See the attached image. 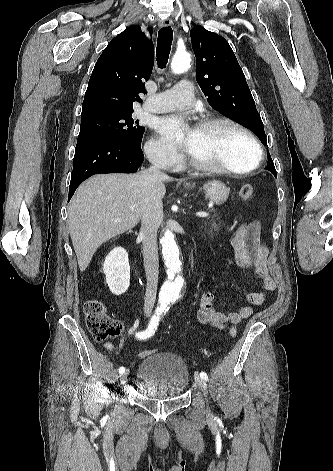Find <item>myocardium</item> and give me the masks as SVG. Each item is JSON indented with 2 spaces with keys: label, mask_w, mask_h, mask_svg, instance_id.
Masks as SVG:
<instances>
[{
  "label": "myocardium",
  "mask_w": 333,
  "mask_h": 471,
  "mask_svg": "<svg viewBox=\"0 0 333 471\" xmlns=\"http://www.w3.org/2000/svg\"><path fill=\"white\" fill-rule=\"evenodd\" d=\"M218 124H227L230 125L240 132H242L252 143L255 151H256V159L254 163L246 168V169H233L224 165H219V164H214L208 161H205L203 159H200L191 153L189 154V161L190 163L197 169L202 170V171H207V172H214V173H225V174H233V175H245L249 174L253 171H255L261 164L262 158H263V151L261 148V145L255 135L243 124L240 122L229 118V117H224V116H218V117H211L202 120L199 122L197 128L199 129H208L212 126L218 125Z\"/></svg>",
  "instance_id": "obj_1"
}]
</instances>
